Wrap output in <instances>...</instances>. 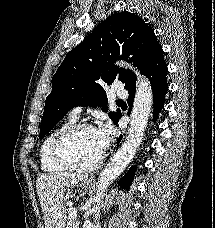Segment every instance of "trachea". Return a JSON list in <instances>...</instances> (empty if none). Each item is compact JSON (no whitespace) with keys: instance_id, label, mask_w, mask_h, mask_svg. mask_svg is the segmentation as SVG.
<instances>
[{"instance_id":"obj_1","label":"trachea","mask_w":215,"mask_h":228,"mask_svg":"<svg viewBox=\"0 0 215 228\" xmlns=\"http://www.w3.org/2000/svg\"><path fill=\"white\" fill-rule=\"evenodd\" d=\"M116 104L117 105H126L125 102H123V100H116Z\"/></svg>"}]
</instances>
